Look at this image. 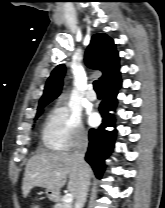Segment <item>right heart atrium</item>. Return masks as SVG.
Returning a JSON list of instances; mask_svg holds the SVG:
<instances>
[{"label": "right heart atrium", "instance_id": "right-heart-atrium-1", "mask_svg": "<svg viewBox=\"0 0 165 208\" xmlns=\"http://www.w3.org/2000/svg\"><path fill=\"white\" fill-rule=\"evenodd\" d=\"M45 145L54 151H68L87 140L81 113L72 106L56 105L48 114L44 128Z\"/></svg>", "mask_w": 165, "mask_h": 208}]
</instances>
